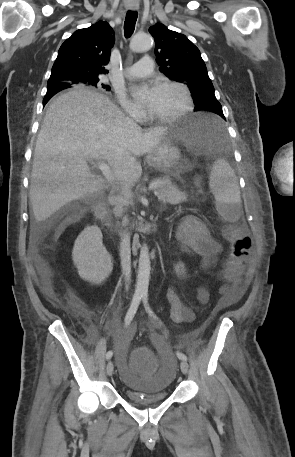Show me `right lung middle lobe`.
<instances>
[{
  "label": "right lung middle lobe",
  "mask_w": 295,
  "mask_h": 457,
  "mask_svg": "<svg viewBox=\"0 0 295 457\" xmlns=\"http://www.w3.org/2000/svg\"><path fill=\"white\" fill-rule=\"evenodd\" d=\"M88 85H92V86H101L102 88L106 89V90H110V87L106 84H103V83H99V78H91L88 80ZM71 87V86H70ZM69 88V87H68ZM56 93V92H55Z\"/></svg>",
  "instance_id": "obj_1"
}]
</instances>
